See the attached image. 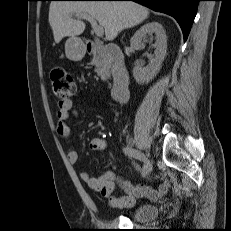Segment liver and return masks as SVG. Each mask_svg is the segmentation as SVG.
I'll use <instances>...</instances> for the list:
<instances>
[{"label": "liver", "instance_id": "1", "mask_svg": "<svg viewBox=\"0 0 231 231\" xmlns=\"http://www.w3.org/2000/svg\"><path fill=\"white\" fill-rule=\"evenodd\" d=\"M81 13L99 22L108 41L114 40L122 30L140 24L149 15L146 7L131 1H52L49 23L56 43L64 37L83 33L85 23L72 18Z\"/></svg>", "mask_w": 231, "mask_h": 231}]
</instances>
